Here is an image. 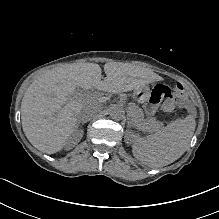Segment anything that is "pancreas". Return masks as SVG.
<instances>
[{
    "label": "pancreas",
    "instance_id": "cf45deb5",
    "mask_svg": "<svg viewBox=\"0 0 219 219\" xmlns=\"http://www.w3.org/2000/svg\"><path fill=\"white\" fill-rule=\"evenodd\" d=\"M128 115L130 119L134 120L135 125L140 127L145 126L149 132H156L162 126L161 123L154 120L145 121L143 111L139 109L130 110Z\"/></svg>",
    "mask_w": 219,
    "mask_h": 219
}]
</instances>
